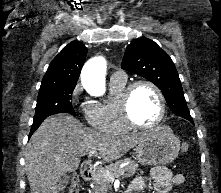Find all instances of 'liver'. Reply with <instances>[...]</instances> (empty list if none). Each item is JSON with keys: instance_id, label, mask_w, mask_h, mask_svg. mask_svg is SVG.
<instances>
[{"instance_id": "obj_1", "label": "liver", "mask_w": 221, "mask_h": 193, "mask_svg": "<svg viewBox=\"0 0 221 193\" xmlns=\"http://www.w3.org/2000/svg\"><path fill=\"white\" fill-rule=\"evenodd\" d=\"M151 132L108 134L84 126L75 117L58 114L46 118L26 146L25 169L31 193H60L59 183L75 171L92 148L111 162L121 158Z\"/></svg>"}]
</instances>
